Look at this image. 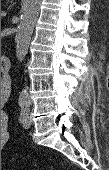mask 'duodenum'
I'll return each instance as SVG.
<instances>
[{
  "label": "duodenum",
  "mask_w": 109,
  "mask_h": 170,
  "mask_svg": "<svg viewBox=\"0 0 109 170\" xmlns=\"http://www.w3.org/2000/svg\"><path fill=\"white\" fill-rule=\"evenodd\" d=\"M8 65H9L8 58H4L1 61V71L3 73V79H2V82H1V87H2L3 90H7L9 88V85H10V80H9V78L7 76Z\"/></svg>",
  "instance_id": "1"
}]
</instances>
